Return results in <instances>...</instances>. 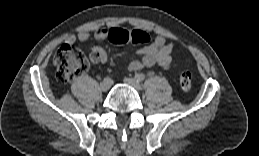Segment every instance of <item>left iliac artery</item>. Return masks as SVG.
<instances>
[{"label":"left iliac artery","instance_id":"1","mask_svg":"<svg viewBox=\"0 0 259 156\" xmlns=\"http://www.w3.org/2000/svg\"><path fill=\"white\" fill-rule=\"evenodd\" d=\"M135 78L138 80V81H143L145 79V75L143 73H140V74H136L135 75Z\"/></svg>","mask_w":259,"mask_h":156}]
</instances>
